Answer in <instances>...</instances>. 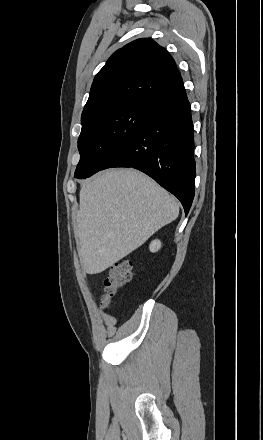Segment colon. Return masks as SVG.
<instances>
[{
  "instance_id": "1",
  "label": "colon",
  "mask_w": 263,
  "mask_h": 440,
  "mask_svg": "<svg viewBox=\"0 0 263 440\" xmlns=\"http://www.w3.org/2000/svg\"><path fill=\"white\" fill-rule=\"evenodd\" d=\"M131 279V265L128 261H121L111 265L108 276L104 280L105 293L101 297L102 305L107 307L117 290L125 287Z\"/></svg>"
}]
</instances>
